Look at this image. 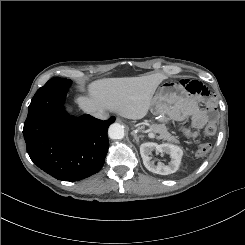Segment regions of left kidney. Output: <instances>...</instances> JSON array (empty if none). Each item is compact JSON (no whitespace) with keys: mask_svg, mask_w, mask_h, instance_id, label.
<instances>
[{"mask_svg":"<svg viewBox=\"0 0 245 245\" xmlns=\"http://www.w3.org/2000/svg\"><path fill=\"white\" fill-rule=\"evenodd\" d=\"M152 151L159 152L161 154L166 153L170 156L171 160L167 165H164L161 162H158L156 165L153 160H151L150 155ZM140 154L143 159L144 166L151 172L168 175L175 173L181 164V159L183 156V151L181 148L171 144H156L152 142L143 143L140 146Z\"/></svg>","mask_w":245,"mask_h":245,"instance_id":"5707ae66","label":"left kidney"}]
</instances>
